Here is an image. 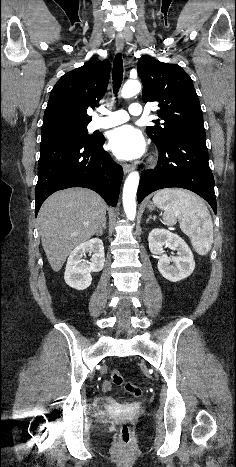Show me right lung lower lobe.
<instances>
[{
	"instance_id": "1",
	"label": "right lung lower lobe",
	"mask_w": 236,
	"mask_h": 467,
	"mask_svg": "<svg viewBox=\"0 0 236 467\" xmlns=\"http://www.w3.org/2000/svg\"><path fill=\"white\" fill-rule=\"evenodd\" d=\"M105 138L84 142L67 139L40 146L35 215L52 193L84 187L96 191L112 206L117 204L123 169L103 149Z\"/></svg>"
}]
</instances>
